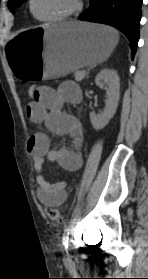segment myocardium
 Wrapping results in <instances>:
<instances>
[{
    "instance_id": "1",
    "label": "myocardium",
    "mask_w": 148,
    "mask_h": 279,
    "mask_svg": "<svg viewBox=\"0 0 148 279\" xmlns=\"http://www.w3.org/2000/svg\"><path fill=\"white\" fill-rule=\"evenodd\" d=\"M33 2L34 0H29V12L30 14L40 22H47V23H55V22H62L68 19H71L78 15L83 8L82 0H74V5L60 15L50 16V17H39L33 9Z\"/></svg>"
}]
</instances>
